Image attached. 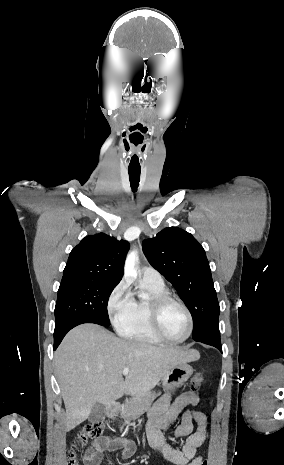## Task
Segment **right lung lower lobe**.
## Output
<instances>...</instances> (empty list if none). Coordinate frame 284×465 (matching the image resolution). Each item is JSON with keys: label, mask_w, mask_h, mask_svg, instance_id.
I'll return each mask as SVG.
<instances>
[{"label": "right lung lower lobe", "mask_w": 284, "mask_h": 465, "mask_svg": "<svg viewBox=\"0 0 284 465\" xmlns=\"http://www.w3.org/2000/svg\"><path fill=\"white\" fill-rule=\"evenodd\" d=\"M83 323H95L98 324L96 321L91 320V319H75L71 320L64 325L55 328L54 330V350L59 346L61 343L62 339L64 336L68 333L69 330L74 328L77 325L83 324Z\"/></svg>", "instance_id": "98d812e1"}]
</instances>
